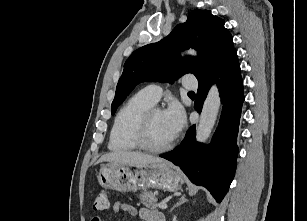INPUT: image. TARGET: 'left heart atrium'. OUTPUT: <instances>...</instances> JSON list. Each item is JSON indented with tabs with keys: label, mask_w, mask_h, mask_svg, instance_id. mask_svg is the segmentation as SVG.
I'll list each match as a JSON object with an SVG mask.
<instances>
[{
	"label": "left heart atrium",
	"mask_w": 307,
	"mask_h": 221,
	"mask_svg": "<svg viewBox=\"0 0 307 221\" xmlns=\"http://www.w3.org/2000/svg\"><path fill=\"white\" fill-rule=\"evenodd\" d=\"M172 137L177 136L185 124V113L182 106L174 102L164 112Z\"/></svg>",
	"instance_id": "1"
}]
</instances>
